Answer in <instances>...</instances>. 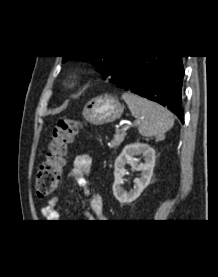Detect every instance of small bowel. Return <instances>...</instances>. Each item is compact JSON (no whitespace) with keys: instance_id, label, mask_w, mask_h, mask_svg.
I'll list each match as a JSON object with an SVG mask.
<instances>
[{"instance_id":"obj_1","label":"small bowel","mask_w":218,"mask_h":277,"mask_svg":"<svg viewBox=\"0 0 218 277\" xmlns=\"http://www.w3.org/2000/svg\"><path fill=\"white\" fill-rule=\"evenodd\" d=\"M92 170V159L88 155H78L74 158L71 169L66 175V178L73 180L81 188L85 198L90 199V210L85 211V216L89 219L100 220L104 218L103 199L93 193L86 181V175ZM59 200L53 197L48 200L47 205L42 208L43 217L49 222L59 220L60 214L57 210Z\"/></svg>"}]
</instances>
